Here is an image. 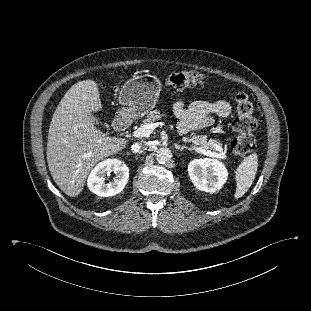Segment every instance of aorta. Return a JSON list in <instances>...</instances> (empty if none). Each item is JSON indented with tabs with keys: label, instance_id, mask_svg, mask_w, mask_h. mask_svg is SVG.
Masks as SVG:
<instances>
[{
	"label": "aorta",
	"instance_id": "aorta-1",
	"mask_svg": "<svg viewBox=\"0 0 311 311\" xmlns=\"http://www.w3.org/2000/svg\"><path fill=\"white\" fill-rule=\"evenodd\" d=\"M171 156V151L168 148L164 147L158 149L155 154L156 160L161 164L168 162Z\"/></svg>",
	"mask_w": 311,
	"mask_h": 311
}]
</instances>
